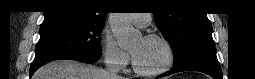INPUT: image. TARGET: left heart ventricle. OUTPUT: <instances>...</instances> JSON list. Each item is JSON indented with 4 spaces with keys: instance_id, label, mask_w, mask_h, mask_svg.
<instances>
[{
    "instance_id": "obj_1",
    "label": "left heart ventricle",
    "mask_w": 255,
    "mask_h": 79,
    "mask_svg": "<svg viewBox=\"0 0 255 79\" xmlns=\"http://www.w3.org/2000/svg\"><path fill=\"white\" fill-rule=\"evenodd\" d=\"M130 51L138 67L143 70H155L161 67L166 59V49L157 40L141 38Z\"/></svg>"
}]
</instances>
